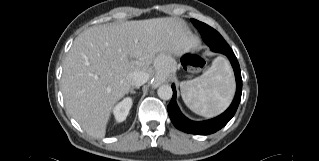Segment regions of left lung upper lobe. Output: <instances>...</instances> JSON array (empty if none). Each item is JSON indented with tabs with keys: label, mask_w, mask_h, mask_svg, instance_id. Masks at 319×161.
Listing matches in <instances>:
<instances>
[{
	"label": "left lung upper lobe",
	"mask_w": 319,
	"mask_h": 161,
	"mask_svg": "<svg viewBox=\"0 0 319 161\" xmlns=\"http://www.w3.org/2000/svg\"><path fill=\"white\" fill-rule=\"evenodd\" d=\"M191 21L196 28L197 25L202 28V30H199L198 28L197 29L199 30L205 43L210 47L212 51L221 53L224 49L230 48L223 37L216 30L198 20L191 19ZM205 31H209L211 35L205 33ZM204 34L207 36H204Z\"/></svg>",
	"instance_id": "obj_1"
}]
</instances>
